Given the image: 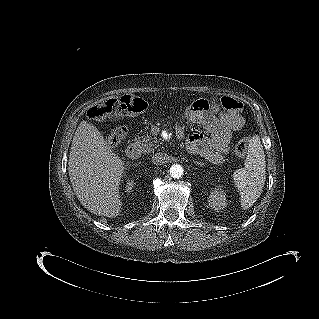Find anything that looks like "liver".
<instances>
[{
	"instance_id": "6515ba94",
	"label": "liver",
	"mask_w": 319,
	"mask_h": 319,
	"mask_svg": "<svg viewBox=\"0 0 319 319\" xmlns=\"http://www.w3.org/2000/svg\"><path fill=\"white\" fill-rule=\"evenodd\" d=\"M69 178L75 195L91 213L116 217L121 210L119 183L124 162L91 123L83 120L73 136Z\"/></svg>"
}]
</instances>
